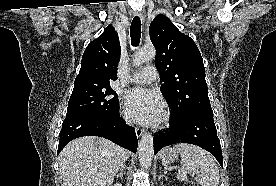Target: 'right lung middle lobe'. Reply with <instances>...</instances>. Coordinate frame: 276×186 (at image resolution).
<instances>
[{"mask_svg":"<svg viewBox=\"0 0 276 186\" xmlns=\"http://www.w3.org/2000/svg\"><path fill=\"white\" fill-rule=\"evenodd\" d=\"M119 107L116 92L110 85L73 89L66 117L80 114L109 115Z\"/></svg>","mask_w":276,"mask_h":186,"instance_id":"right-lung-middle-lobe-1","label":"right lung middle lobe"}]
</instances>
